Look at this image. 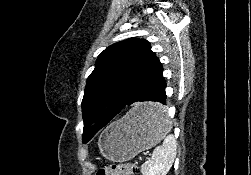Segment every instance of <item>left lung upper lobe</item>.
I'll list each match as a JSON object with an SVG mask.
<instances>
[{"mask_svg":"<svg viewBox=\"0 0 251 175\" xmlns=\"http://www.w3.org/2000/svg\"><path fill=\"white\" fill-rule=\"evenodd\" d=\"M160 63L145 39L129 38L106 48L87 79L82 100L83 143L90 141L104 125L93 113L108 104L125 103L138 82ZM96 122L95 125L92 123Z\"/></svg>","mask_w":251,"mask_h":175,"instance_id":"left-lung-upper-lobe-1","label":"left lung upper lobe"}]
</instances>
